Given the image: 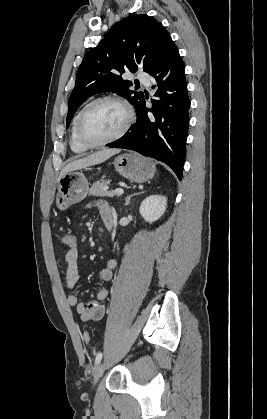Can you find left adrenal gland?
I'll return each mask as SVG.
<instances>
[{"mask_svg": "<svg viewBox=\"0 0 267 419\" xmlns=\"http://www.w3.org/2000/svg\"><path fill=\"white\" fill-rule=\"evenodd\" d=\"M141 193H143V192H140V193H135V194H132V195H130V196H127V198L125 199V206H126V205H128V204L130 203V200H131V198H132L133 196H135V195H139V194H141Z\"/></svg>", "mask_w": 267, "mask_h": 419, "instance_id": "left-adrenal-gland-1", "label": "left adrenal gland"}]
</instances>
